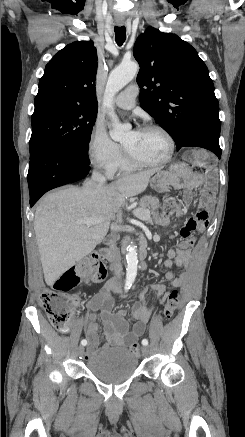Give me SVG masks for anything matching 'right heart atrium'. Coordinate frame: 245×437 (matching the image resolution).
<instances>
[{"instance_id": "d8ad5b80", "label": "right heart atrium", "mask_w": 245, "mask_h": 437, "mask_svg": "<svg viewBox=\"0 0 245 437\" xmlns=\"http://www.w3.org/2000/svg\"><path fill=\"white\" fill-rule=\"evenodd\" d=\"M87 155L94 167L107 174H112L124 157L122 147L109 137L103 125L98 122L90 132Z\"/></svg>"}]
</instances>
